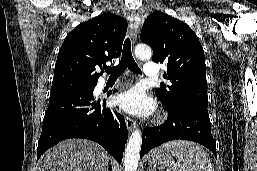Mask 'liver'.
Wrapping results in <instances>:
<instances>
[{
	"mask_svg": "<svg viewBox=\"0 0 257 171\" xmlns=\"http://www.w3.org/2000/svg\"><path fill=\"white\" fill-rule=\"evenodd\" d=\"M109 155L97 143L68 139L46 151L38 162V171H106Z\"/></svg>",
	"mask_w": 257,
	"mask_h": 171,
	"instance_id": "6515ba94",
	"label": "liver"
}]
</instances>
